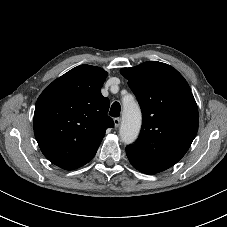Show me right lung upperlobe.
Masks as SVG:
<instances>
[{
    "instance_id": "obj_1",
    "label": "right lung upper lobe",
    "mask_w": 227,
    "mask_h": 227,
    "mask_svg": "<svg viewBox=\"0 0 227 227\" xmlns=\"http://www.w3.org/2000/svg\"><path fill=\"white\" fill-rule=\"evenodd\" d=\"M107 72L80 65L53 81L39 96L34 134L44 156L66 170L77 169L96 154L107 128L110 101L101 94Z\"/></svg>"
}]
</instances>
